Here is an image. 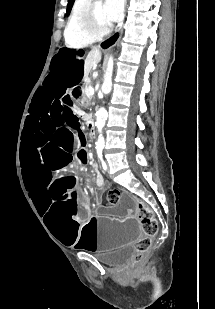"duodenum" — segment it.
Returning a JSON list of instances; mask_svg holds the SVG:
<instances>
[{
    "label": "duodenum",
    "instance_id": "410a0bca",
    "mask_svg": "<svg viewBox=\"0 0 215 309\" xmlns=\"http://www.w3.org/2000/svg\"><path fill=\"white\" fill-rule=\"evenodd\" d=\"M86 120L88 122L89 130L91 131L92 134H95L96 133V122H95V119L88 115L86 117Z\"/></svg>",
    "mask_w": 215,
    "mask_h": 309
}]
</instances>
